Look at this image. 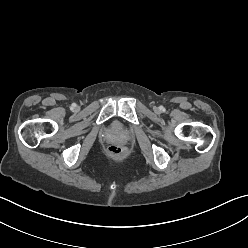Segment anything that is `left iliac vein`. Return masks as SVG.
I'll list each match as a JSON object with an SVG mask.
<instances>
[{
  "label": "left iliac vein",
  "mask_w": 248,
  "mask_h": 248,
  "mask_svg": "<svg viewBox=\"0 0 248 248\" xmlns=\"http://www.w3.org/2000/svg\"><path fill=\"white\" fill-rule=\"evenodd\" d=\"M159 109L158 108H155V111H158Z\"/></svg>",
  "instance_id": "1"
}]
</instances>
